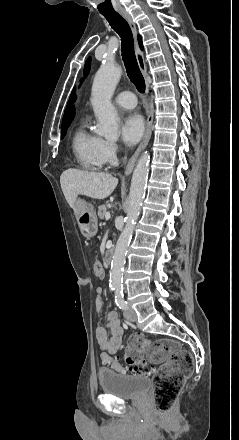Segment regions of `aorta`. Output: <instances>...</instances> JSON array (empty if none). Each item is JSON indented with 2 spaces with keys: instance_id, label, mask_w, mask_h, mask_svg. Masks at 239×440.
<instances>
[{
  "instance_id": "762f6f07",
  "label": "aorta",
  "mask_w": 239,
  "mask_h": 440,
  "mask_svg": "<svg viewBox=\"0 0 239 440\" xmlns=\"http://www.w3.org/2000/svg\"><path fill=\"white\" fill-rule=\"evenodd\" d=\"M122 70L119 66H115L113 60H105L100 66L93 80L91 104L93 112L99 120L96 128L98 136H104L106 140H119V116L117 110L111 104V98L115 92V88L121 78ZM149 154H142L137 162V166L133 172L129 204L127 210V218L125 228L120 234L116 248L114 250L110 284L115 290L122 292L123 272L125 266V258L133 236L134 226L140 214L143 196L145 194L147 176L149 172Z\"/></svg>"
}]
</instances>
